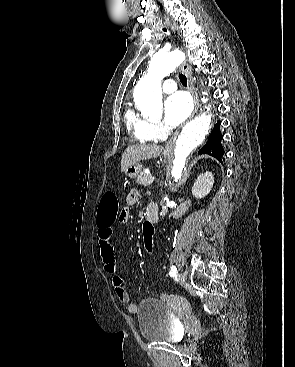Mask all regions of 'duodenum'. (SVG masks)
I'll use <instances>...</instances> for the list:
<instances>
[{"label":"duodenum","mask_w":295,"mask_h":367,"mask_svg":"<svg viewBox=\"0 0 295 367\" xmlns=\"http://www.w3.org/2000/svg\"><path fill=\"white\" fill-rule=\"evenodd\" d=\"M146 219H151L152 223L158 219V206L155 203H151L146 210Z\"/></svg>","instance_id":"410a0bca"}]
</instances>
